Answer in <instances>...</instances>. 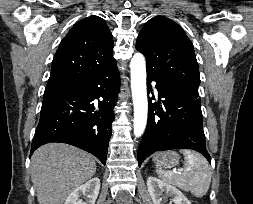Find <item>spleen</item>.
<instances>
[{
  "label": "spleen",
  "instance_id": "3e777b00",
  "mask_svg": "<svg viewBox=\"0 0 253 204\" xmlns=\"http://www.w3.org/2000/svg\"><path fill=\"white\" fill-rule=\"evenodd\" d=\"M180 152L185 157L184 169L178 172L164 171L157 165L158 177L184 191H190L196 197L204 196L209 189L212 177V171L206 158L187 149L180 150Z\"/></svg>",
  "mask_w": 253,
  "mask_h": 204
}]
</instances>
